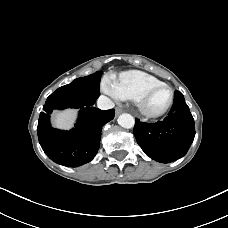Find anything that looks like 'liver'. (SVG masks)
Returning <instances> with one entry per match:
<instances>
[{"label":"liver","mask_w":228,"mask_h":228,"mask_svg":"<svg viewBox=\"0 0 228 228\" xmlns=\"http://www.w3.org/2000/svg\"><path fill=\"white\" fill-rule=\"evenodd\" d=\"M76 110H66L55 113L54 125L57 128L68 130L73 127V122L76 118Z\"/></svg>","instance_id":"liver-1"}]
</instances>
